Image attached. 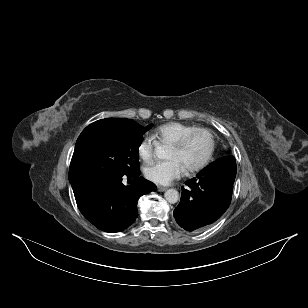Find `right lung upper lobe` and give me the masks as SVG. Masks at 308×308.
<instances>
[{
    "instance_id": "right-lung-upper-lobe-1",
    "label": "right lung upper lobe",
    "mask_w": 308,
    "mask_h": 308,
    "mask_svg": "<svg viewBox=\"0 0 308 308\" xmlns=\"http://www.w3.org/2000/svg\"><path fill=\"white\" fill-rule=\"evenodd\" d=\"M134 121L129 119H122V118H107L93 122L92 124L88 125L82 133L87 131L101 128V127H126L130 126ZM77 177L74 175H69L70 182L74 181Z\"/></svg>"
}]
</instances>
